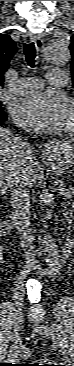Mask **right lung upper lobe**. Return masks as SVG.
Listing matches in <instances>:
<instances>
[{"label": "right lung upper lobe", "mask_w": 74, "mask_h": 366, "mask_svg": "<svg viewBox=\"0 0 74 366\" xmlns=\"http://www.w3.org/2000/svg\"><path fill=\"white\" fill-rule=\"evenodd\" d=\"M16 51V43L10 36L0 35V86L4 83V73L9 68V62Z\"/></svg>", "instance_id": "right-lung-upper-lobe-1"}]
</instances>
